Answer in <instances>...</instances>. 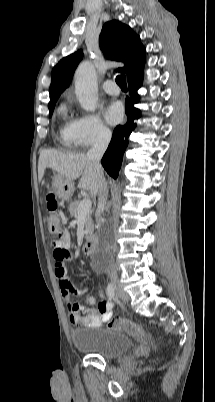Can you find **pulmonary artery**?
I'll return each instance as SVG.
<instances>
[{
    "mask_svg": "<svg viewBox=\"0 0 215 402\" xmlns=\"http://www.w3.org/2000/svg\"><path fill=\"white\" fill-rule=\"evenodd\" d=\"M103 89L110 95H118L120 93L119 87L113 80H106L103 83Z\"/></svg>",
    "mask_w": 215,
    "mask_h": 402,
    "instance_id": "obj_1",
    "label": "pulmonary artery"
}]
</instances>
